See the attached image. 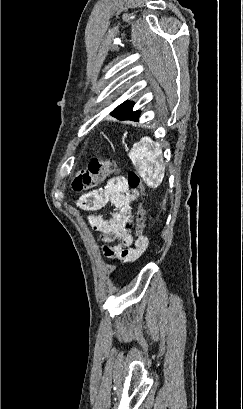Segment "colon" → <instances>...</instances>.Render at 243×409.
<instances>
[{"label":"colon","mask_w":243,"mask_h":409,"mask_svg":"<svg viewBox=\"0 0 243 409\" xmlns=\"http://www.w3.org/2000/svg\"><path fill=\"white\" fill-rule=\"evenodd\" d=\"M115 171L116 165L113 161L93 159L89 162L86 169L80 170L75 174L72 181V189L75 192L88 191L97 183L115 173ZM127 184L130 189L138 191L141 198L135 218V239L140 243L143 237H145L143 234L145 228V210L142 203L144 186L141 177L135 172L128 174Z\"/></svg>","instance_id":"obj_1"}]
</instances>
